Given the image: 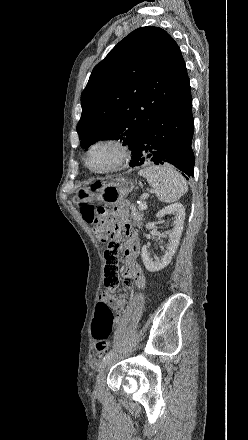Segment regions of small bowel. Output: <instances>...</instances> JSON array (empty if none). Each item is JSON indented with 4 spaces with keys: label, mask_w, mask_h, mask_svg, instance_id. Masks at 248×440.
I'll list each match as a JSON object with an SVG mask.
<instances>
[{
    "label": "small bowel",
    "mask_w": 248,
    "mask_h": 440,
    "mask_svg": "<svg viewBox=\"0 0 248 440\" xmlns=\"http://www.w3.org/2000/svg\"><path fill=\"white\" fill-rule=\"evenodd\" d=\"M113 224L118 230H123L127 238L123 253L126 261V269L123 274L124 283L127 286H135L138 289H142L145 286L146 279L137 261V256L140 252V241L137 232L133 229L128 220L126 206L117 209ZM120 262L119 257L104 258V270L102 274L107 291L102 293L99 297L100 301H104L111 309L119 313L123 308V297L114 294L116 291L121 290ZM114 322L118 324L119 317H117Z\"/></svg>",
    "instance_id": "1"
}]
</instances>
